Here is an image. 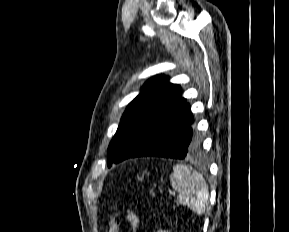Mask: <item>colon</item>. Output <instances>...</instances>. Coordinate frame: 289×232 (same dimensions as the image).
I'll return each instance as SVG.
<instances>
[{
  "mask_svg": "<svg viewBox=\"0 0 289 232\" xmlns=\"http://www.w3.org/2000/svg\"><path fill=\"white\" fill-rule=\"evenodd\" d=\"M127 219L133 230H136L139 226V219L136 211L133 208L128 207L126 210ZM108 232H119V221L115 216H110L108 219Z\"/></svg>",
  "mask_w": 289,
  "mask_h": 232,
  "instance_id": "5ec220e1",
  "label": "colon"
}]
</instances>
